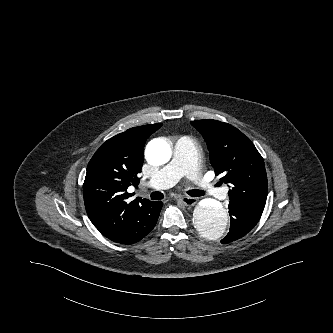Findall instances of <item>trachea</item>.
<instances>
[{"label": "trachea", "instance_id": "trachea-1", "mask_svg": "<svg viewBox=\"0 0 333 333\" xmlns=\"http://www.w3.org/2000/svg\"><path fill=\"white\" fill-rule=\"evenodd\" d=\"M188 194L191 196H194V197H200V196L204 195V192L200 191V190H190V191H188ZM150 197H151V199H154V200H160V199H163L164 195H163V193H161L159 191H155L150 194Z\"/></svg>", "mask_w": 333, "mask_h": 333}]
</instances>
